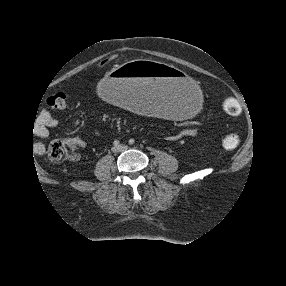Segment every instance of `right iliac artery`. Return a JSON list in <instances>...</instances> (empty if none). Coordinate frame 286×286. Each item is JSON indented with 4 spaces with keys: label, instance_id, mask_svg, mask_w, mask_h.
Returning <instances> with one entry per match:
<instances>
[{
    "label": "right iliac artery",
    "instance_id": "obj_1",
    "mask_svg": "<svg viewBox=\"0 0 286 286\" xmlns=\"http://www.w3.org/2000/svg\"><path fill=\"white\" fill-rule=\"evenodd\" d=\"M115 146H119L120 145V142L118 140H115L114 143H113Z\"/></svg>",
    "mask_w": 286,
    "mask_h": 286
}]
</instances>
